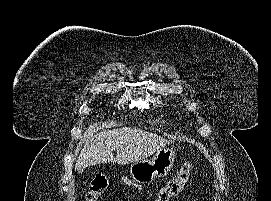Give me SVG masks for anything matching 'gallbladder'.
<instances>
[{"mask_svg":"<svg viewBox=\"0 0 271 201\" xmlns=\"http://www.w3.org/2000/svg\"><path fill=\"white\" fill-rule=\"evenodd\" d=\"M83 171H84V170H83V169H81V170H79L78 172H79V173H83Z\"/></svg>","mask_w":271,"mask_h":201,"instance_id":"gallbladder-1","label":"gallbladder"}]
</instances>
